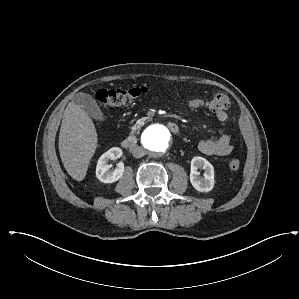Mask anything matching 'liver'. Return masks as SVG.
<instances>
[{
  "instance_id": "1",
  "label": "liver",
  "mask_w": 299,
  "mask_h": 299,
  "mask_svg": "<svg viewBox=\"0 0 299 299\" xmlns=\"http://www.w3.org/2000/svg\"><path fill=\"white\" fill-rule=\"evenodd\" d=\"M98 145V134L89 115L74 102H69L59 134V152L67 173L82 181Z\"/></svg>"
}]
</instances>
